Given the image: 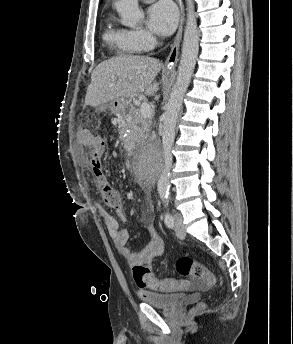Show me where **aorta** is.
<instances>
[{
  "instance_id": "762f6f07",
  "label": "aorta",
  "mask_w": 293,
  "mask_h": 344,
  "mask_svg": "<svg viewBox=\"0 0 293 344\" xmlns=\"http://www.w3.org/2000/svg\"><path fill=\"white\" fill-rule=\"evenodd\" d=\"M187 1V21L184 31L181 60L178 67L177 79L170 93L166 110L162 115V150L163 168L160 174L157 190L161 197L168 194L170 187V169L172 166V146L175 140L176 123L182 107L183 98L190 84L199 51V31L197 27L193 0ZM116 10L124 26H135L144 16L139 9L138 0H119ZM155 163L146 155L138 159V167L150 170Z\"/></svg>"
}]
</instances>
